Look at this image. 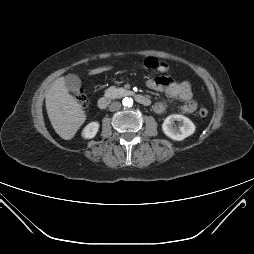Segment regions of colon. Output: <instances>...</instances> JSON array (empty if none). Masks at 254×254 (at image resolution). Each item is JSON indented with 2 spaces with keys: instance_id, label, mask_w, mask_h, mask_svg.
<instances>
[{
  "instance_id": "5ec220e1",
  "label": "colon",
  "mask_w": 254,
  "mask_h": 254,
  "mask_svg": "<svg viewBox=\"0 0 254 254\" xmlns=\"http://www.w3.org/2000/svg\"><path fill=\"white\" fill-rule=\"evenodd\" d=\"M143 66L146 69L154 70V71H158V72H167L169 70L167 63H165L164 61L159 60L155 57H148V58L144 59ZM76 99L80 103L81 106H83V107L88 106V103H89L88 99L83 92H81V91L77 92ZM198 114L200 117L205 118L208 115V110L204 107H201L198 110Z\"/></svg>"
}]
</instances>
